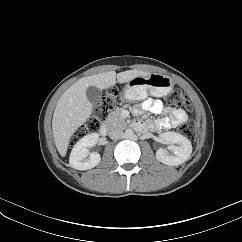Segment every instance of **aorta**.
<instances>
[{
	"mask_svg": "<svg viewBox=\"0 0 242 242\" xmlns=\"http://www.w3.org/2000/svg\"><path fill=\"white\" fill-rule=\"evenodd\" d=\"M124 136L128 139H132L134 137V131L128 128L125 130Z\"/></svg>",
	"mask_w": 242,
	"mask_h": 242,
	"instance_id": "aorta-1",
	"label": "aorta"
}]
</instances>
